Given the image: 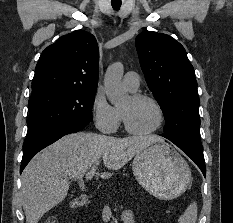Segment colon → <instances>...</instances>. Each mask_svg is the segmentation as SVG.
<instances>
[{"mask_svg":"<svg viewBox=\"0 0 233 223\" xmlns=\"http://www.w3.org/2000/svg\"><path fill=\"white\" fill-rule=\"evenodd\" d=\"M44 223H58V221L57 219L50 218V219H47Z\"/></svg>","mask_w":233,"mask_h":223,"instance_id":"1","label":"colon"}]
</instances>
